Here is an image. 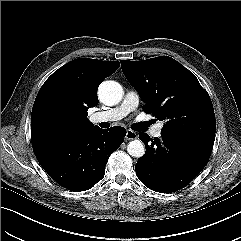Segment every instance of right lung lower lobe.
<instances>
[{
	"label": "right lung lower lobe",
	"mask_w": 241,
	"mask_h": 241,
	"mask_svg": "<svg viewBox=\"0 0 241 241\" xmlns=\"http://www.w3.org/2000/svg\"><path fill=\"white\" fill-rule=\"evenodd\" d=\"M126 129L98 126L67 139L33 147L44 170L61 186L85 191L103 179L109 156L124 141Z\"/></svg>",
	"instance_id": "98d812e1"
}]
</instances>
